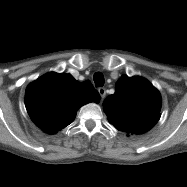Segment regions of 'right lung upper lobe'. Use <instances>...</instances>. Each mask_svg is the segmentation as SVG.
<instances>
[{
	"label": "right lung upper lobe",
	"instance_id": "1",
	"mask_svg": "<svg viewBox=\"0 0 187 187\" xmlns=\"http://www.w3.org/2000/svg\"><path fill=\"white\" fill-rule=\"evenodd\" d=\"M100 99L90 81L78 82L70 74L54 72L32 82L25 93L31 119L49 134L72 123L80 106Z\"/></svg>",
	"mask_w": 187,
	"mask_h": 187
}]
</instances>
